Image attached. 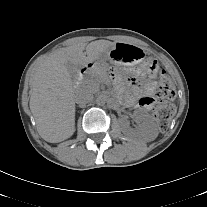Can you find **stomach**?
<instances>
[{
  "instance_id": "0dacf381",
  "label": "stomach",
  "mask_w": 207,
  "mask_h": 207,
  "mask_svg": "<svg viewBox=\"0 0 207 207\" xmlns=\"http://www.w3.org/2000/svg\"><path fill=\"white\" fill-rule=\"evenodd\" d=\"M104 57L116 65L135 66L147 61L144 50L125 43H115L104 53Z\"/></svg>"
}]
</instances>
